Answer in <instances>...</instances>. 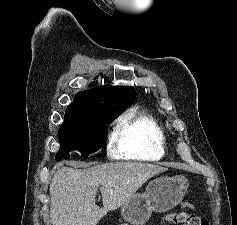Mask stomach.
Wrapping results in <instances>:
<instances>
[{"instance_id": "obj_1", "label": "stomach", "mask_w": 237, "mask_h": 225, "mask_svg": "<svg viewBox=\"0 0 237 225\" xmlns=\"http://www.w3.org/2000/svg\"><path fill=\"white\" fill-rule=\"evenodd\" d=\"M189 187L184 176L159 177L146 187L145 193L134 194L121 208V214L132 225H143L152 211L165 212L179 204Z\"/></svg>"}]
</instances>
